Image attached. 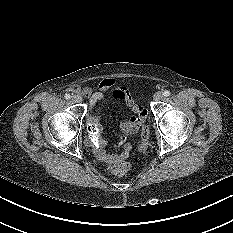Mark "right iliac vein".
Here are the masks:
<instances>
[{
	"label": "right iliac vein",
	"instance_id": "1",
	"mask_svg": "<svg viewBox=\"0 0 233 233\" xmlns=\"http://www.w3.org/2000/svg\"><path fill=\"white\" fill-rule=\"evenodd\" d=\"M72 102L74 103H79L82 101L81 97L78 96V95H73L72 98H71Z\"/></svg>",
	"mask_w": 233,
	"mask_h": 233
}]
</instances>
